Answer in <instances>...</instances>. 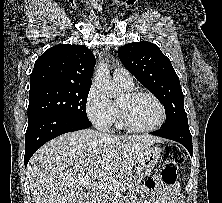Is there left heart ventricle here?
<instances>
[{"label":"left heart ventricle","mask_w":222,"mask_h":203,"mask_svg":"<svg viewBox=\"0 0 222 203\" xmlns=\"http://www.w3.org/2000/svg\"><path fill=\"white\" fill-rule=\"evenodd\" d=\"M118 103L126 109L130 119L139 127H151L161 118L158 105L149 97L142 96L127 100L123 95Z\"/></svg>","instance_id":"b2bd125f"}]
</instances>
